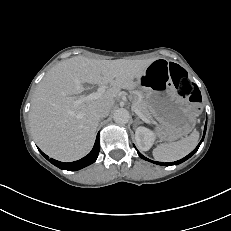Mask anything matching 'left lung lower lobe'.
<instances>
[{
    "instance_id": "0a47b994",
    "label": "left lung lower lobe",
    "mask_w": 231,
    "mask_h": 231,
    "mask_svg": "<svg viewBox=\"0 0 231 231\" xmlns=\"http://www.w3.org/2000/svg\"><path fill=\"white\" fill-rule=\"evenodd\" d=\"M205 132H206V124H205V128H204L203 138H202V140L200 141V143L198 144V146H197L189 155H187V156L184 157L183 159L178 160V161H175V162H170V163L154 162V161H151V160H149L148 158L144 157L139 151H137V152H138V154H139V156H140L141 158H143V159H145V160H147V161L153 162V163H155V164H158V165H163V166H171V165H174V164H175V165H178V164H180V163L186 161L187 159H189V158L198 150L200 144L202 143V141H203V139H204Z\"/></svg>"
}]
</instances>
